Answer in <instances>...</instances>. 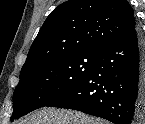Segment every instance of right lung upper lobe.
<instances>
[{"label":"right lung upper lobe","instance_id":"obj_1","mask_svg":"<svg viewBox=\"0 0 145 124\" xmlns=\"http://www.w3.org/2000/svg\"><path fill=\"white\" fill-rule=\"evenodd\" d=\"M137 26L127 0H69L46 19L20 76L55 58L81 52L100 53Z\"/></svg>","mask_w":145,"mask_h":124}]
</instances>
